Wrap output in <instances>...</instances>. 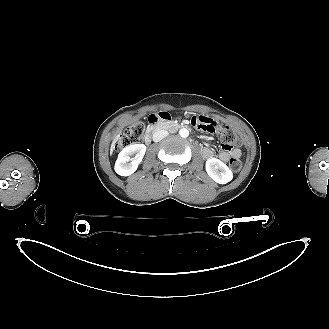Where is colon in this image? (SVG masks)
Wrapping results in <instances>:
<instances>
[{
    "mask_svg": "<svg viewBox=\"0 0 329 329\" xmlns=\"http://www.w3.org/2000/svg\"><path fill=\"white\" fill-rule=\"evenodd\" d=\"M162 115L165 117H170L167 112H162ZM144 130L145 127L141 123L128 127L117 141L116 150L120 151L131 145L139 143L143 136ZM213 133H217L220 136L222 146L225 149H231L233 146L240 143L238 136L229 127L220 125L219 128ZM229 166L233 171H239L242 167V161L239 157H231Z\"/></svg>",
    "mask_w": 329,
    "mask_h": 329,
    "instance_id": "1",
    "label": "colon"
}]
</instances>
